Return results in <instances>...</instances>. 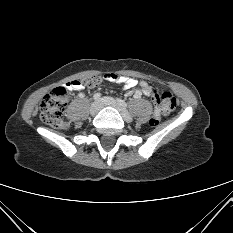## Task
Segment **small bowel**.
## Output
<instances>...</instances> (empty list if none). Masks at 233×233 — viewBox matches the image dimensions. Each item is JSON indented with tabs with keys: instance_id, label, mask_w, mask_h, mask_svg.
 Returning a JSON list of instances; mask_svg holds the SVG:
<instances>
[{
	"instance_id": "small-bowel-1",
	"label": "small bowel",
	"mask_w": 233,
	"mask_h": 233,
	"mask_svg": "<svg viewBox=\"0 0 233 233\" xmlns=\"http://www.w3.org/2000/svg\"><path fill=\"white\" fill-rule=\"evenodd\" d=\"M102 79L105 82H108V81L110 83L114 82L113 83L114 85L116 83H119L120 85H122L124 90H130L138 86V88L132 92L135 98H140L143 94H145L154 100L156 89L150 86L145 81L138 82L137 80L133 78L119 76L117 73H110V74L105 73L102 76ZM112 88L114 89L115 87L113 86ZM63 89H69V91L78 90L81 93H84L87 90V87L82 83V80L74 79L72 81H69L67 84H63Z\"/></svg>"
}]
</instances>
